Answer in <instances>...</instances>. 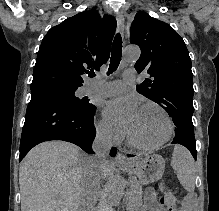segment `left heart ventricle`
<instances>
[{"instance_id": "obj_1", "label": "left heart ventricle", "mask_w": 219, "mask_h": 211, "mask_svg": "<svg viewBox=\"0 0 219 211\" xmlns=\"http://www.w3.org/2000/svg\"><path fill=\"white\" fill-rule=\"evenodd\" d=\"M127 131L135 141L143 144H153L165 136L167 120L164 114L155 107L140 108Z\"/></svg>"}]
</instances>
